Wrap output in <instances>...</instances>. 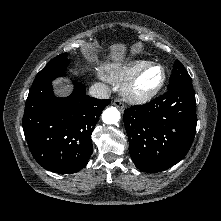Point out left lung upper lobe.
I'll return each instance as SVG.
<instances>
[{
    "label": "left lung upper lobe",
    "instance_id": "1",
    "mask_svg": "<svg viewBox=\"0 0 221 221\" xmlns=\"http://www.w3.org/2000/svg\"><path fill=\"white\" fill-rule=\"evenodd\" d=\"M181 81H192V79L182 63L179 60H176L173 66L172 74L170 76L168 88H171Z\"/></svg>",
    "mask_w": 221,
    "mask_h": 221
}]
</instances>
